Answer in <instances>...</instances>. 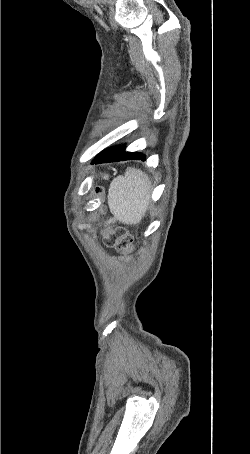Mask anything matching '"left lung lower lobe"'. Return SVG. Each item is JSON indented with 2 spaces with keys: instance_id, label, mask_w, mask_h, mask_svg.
<instances>
[{
  "instance_id": "left-lung-lower-lobe-1",
  "label": "left lung lower lobe",
  "mask_w": 250,
  "mask_h": 454,
  "mask_svg": "<svg viewBox=\"0 0 250 454\" xmlns=\"http://www.w3.org/2000/svg\"><path fill=\"white\" fill-rule=\"evenodd\" d=\"M145 160V156L138 152H125V147H113L97 155L93 163L116 162L124 160Z\"/></svg>"
}]
</instances>
